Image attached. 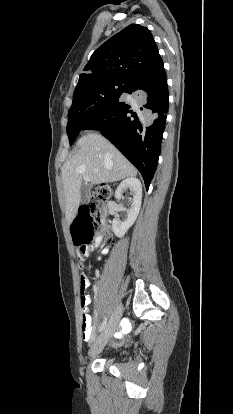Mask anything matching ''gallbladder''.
<instances>
[{
	"instance_id": "bac80fb5",
	"label": "gallbladder",
	"mask_w": 233,
	"mask_h": 414,
	"mask_svg": "<svg viewBox=\"0 0 233 414\" xmlns=\"http://www.w3.org/2000/svg\"><path fill=\"white\" fill-rule=\"evenodd\" d=\"M90 189L91 185L83 183L81 186V202L87 204L90 201Z\"/></svg>"
}]
</instances>
